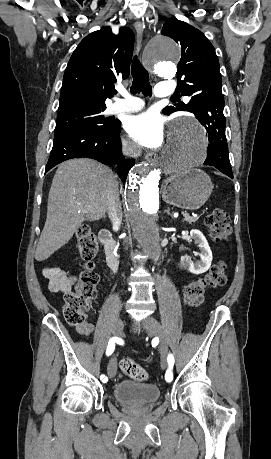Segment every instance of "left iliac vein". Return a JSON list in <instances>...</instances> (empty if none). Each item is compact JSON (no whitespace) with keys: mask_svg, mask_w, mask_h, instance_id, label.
I'll list each match as a JSON object with an SVG mask.
<instances>
[{"mask_svg":"<svg viewBox=\"0 0 271 459\" xmlns=\"http://www.w3.org/2000/svg\"><path fill=\"white\" fill-rule=\"evenodd\" d=\"M142 328L146 330V332L150 336H157L160 341L159 351L161 354V365L163 368H166L168 355H169V348L168 342L164 333V330L161 324L153 317L148 316L142 325Z\"/></svg>","mask_w":271,"mask_h":459,"instance_id":"4c4485c4","label":"left iliac vein"}]
</instances>
